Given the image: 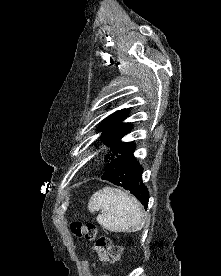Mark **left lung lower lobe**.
<instances>
[{
	"label": "left lung lower lobe",
	"mask_w": 221,
	"mask_h": 276,
	"mask_svg": "<svg viewBox=\"0 0 221 276\" xmlns=\"http://www.w3.org/2000/svg\"><path fill=\"white\" fill-rule=\"evenodd\" d=\"M135 145L108 160L101 179L129 190L147 208L149 193L142 182V166L133 155Z\"/></svg>",
	"instance_id": "left-lung-lower-lobe-1"
}]
</instances>
